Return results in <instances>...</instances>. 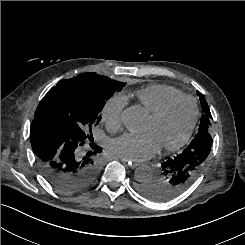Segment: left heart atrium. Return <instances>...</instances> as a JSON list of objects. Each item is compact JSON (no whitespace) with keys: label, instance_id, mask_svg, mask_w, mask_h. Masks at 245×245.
Wrapping results in <instances>:
<instances>
[{"label":"left heart atrium","instance_id":"39dd6f15","mask_svg":"<svg viewBox=\"0 0 245 245\" xmlns=\"http://www.w3.org/2000/svg\"><path fill=\"white\" fill-rule=\"evenodd\" d=\"M159 146L149 133L124 134L111 143L114 155L132 161H144L154 156Z\"/></svg>","mask_w":245,"mask_h":245}]
</instances>
